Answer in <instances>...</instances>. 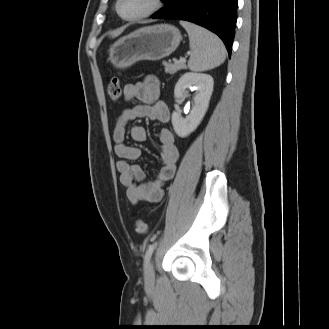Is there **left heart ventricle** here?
<instances>
[{
  "label": "left heart ventricle",
  "instance_id": "left-heart-ventricle-1",
  "mask_svg": "<svg viewBox=\"0 0 329 329\" xmlns=\"http://www.w3.org/2000/svg\"><path fill=\"white\" fill-rule=\"evenodd\" d=\"M151 0H122L119 10L124 16H133L145 11Z\"/></svg>",
  "mask_w": 329,
  "mask_h": 329
}]
</instances>
